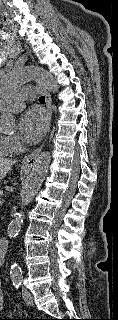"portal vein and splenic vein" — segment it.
Returning <instances> with one entry per match:
<instances>
[{
	"label": "portal vein and splenic vein",
	"mask_w": 118,
	"mask_h": 320,
	"mask_svg": "<svg viewBox=\"0 0 118 320\" xmlns=\"http://www.w3.org/2000/svg\"><path fill=\"white\" fill-rule=\"evenodd\" d=\"M3 195V191L2 190H0V196H2Z\"/></svg>",
	"instance_id": "portal-vein-and-splenic-vein-1"
}]
</instances>
